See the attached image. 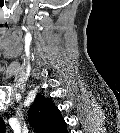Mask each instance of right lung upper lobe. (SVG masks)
Instances as JSON below:
<instances>
[{"label":"right lung upper lobe","instance_id":"obj_1","mask_svg":"<svg viewBox=\"0 0 120 133\" xmlns=\"http://www.w3.org/2000/svg\"><path fill=\"white\" fill-rule=\"evenodd\" d=\"M29 120L39 131L54 133L66 131V123L61 117L60 110L54 106L50 99L38 94L34 103L30 106Z\"/></svg>","mask_w":120,"mask_h":133}]
</instances>
